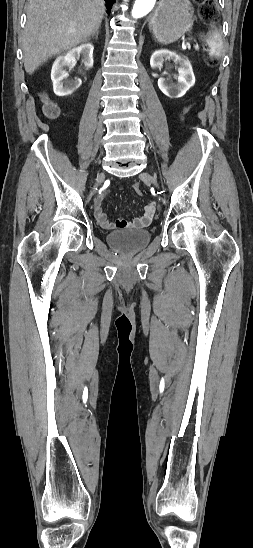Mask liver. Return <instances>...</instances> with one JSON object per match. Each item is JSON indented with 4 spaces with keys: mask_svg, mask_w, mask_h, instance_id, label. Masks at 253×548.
Segmentation results:
<instances>
[{
    "mask_svg": "<svg viewBox=\"0 0 253 548\" xmlns=\"http://www.w3.org/2000/svg\"><path fill=\"white\" fill-rule=\"evenodd\" d=\"M104 0H29L22 35L28 74L50 57L85 42L100 27Z\"/></svg>",
    "mask_w": 253,
    "mask_h": 548,
    "instance_id": "1",
    "label": "liver"
}]
</instances>
